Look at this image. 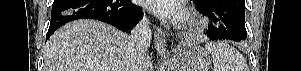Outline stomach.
<instances>
[{"instance_id": "0dacf381", "label": "stomach", "mask_w": 301, "mask_h": 71, "mask_svg": "<svg viewBox=\"0 0 301 71\" xmlns=\"http://www.w3.org/2000/svg\"><path fill=\"white\" fill-rule=\"evenodd\" d=\"M211 66L210 54L201 47L181 51L174 59V71H209Z\"/></svg>"}]
</instances>
